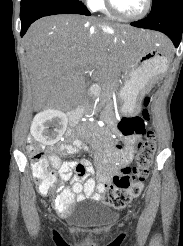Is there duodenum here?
<instances>
[{
  "label": "duodenum",
  "instance_id": "1",
  "mask_svg": "<svg viewBox=\"0 0 183 246\" xmlns=\"http://www.w3.org/2000/svg\"><path fill=\"white\" fill-rule=\"evenodd\" d=\"M100 94L101 88L98 85H91L88 88L86 103L90 104L96 102ZM85 107L86 106L84 104H78L77 108L68 113L69 121L72 125H74L78 121L79 116L83 115V113L85 112Z\"/></svg>",
  "mask_w": 183,
  "mask_h": 246
}]
</instances>
